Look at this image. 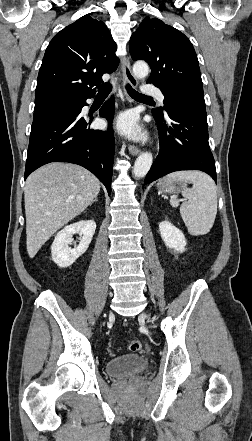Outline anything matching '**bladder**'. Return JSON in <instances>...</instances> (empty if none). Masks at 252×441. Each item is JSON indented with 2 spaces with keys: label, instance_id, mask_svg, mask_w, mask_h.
<instances>
[{
  "label": "bladder",
  "instance_id": "obj_1",
  "mask_svg": "<svg viewBox=\"0 0 252 441\" xmlns=\"http://www.w3.org/2000/svg\"><path fill=\"white\" fill-rule=\"evenodd\" d=\"M148 361L141 355L129 354L109 360L105 364L106 373L111 377H127L143 373Z\"/></svg>",
  "mask_w": 252,
  "mask_h": 441
}]
</instances>
